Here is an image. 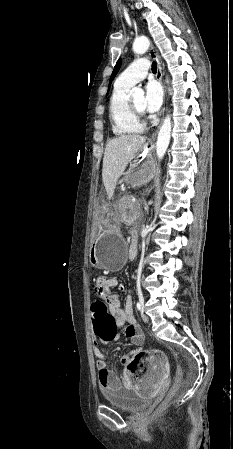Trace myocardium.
<instances>
[{
	"label": "myocardium",
	"instance_id": "obj_1",
	"mask_svg": "<svg viewBox=\"0 0 233 449\" xmlns=\"http://www.w3.org/2000/svg\"><path fill=\"white\" fill-rule=\"evenodd\" d=\"M128 106H129V109H130V112L132 113V115L139 121L144 122V120L146 118L145 111L138 109L137 106L134 104L131 97H129V99H128Z\"/></svg>",
	"mask_w": 233,
	"mask_h": 449
}]
</instances>
